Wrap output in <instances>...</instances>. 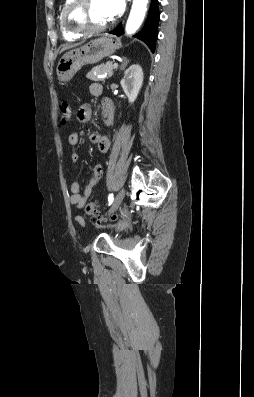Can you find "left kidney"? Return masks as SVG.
Instances as JSON below:
<instances>
[{"instance_id": "obj_1", "label": "left kidney", "mask_w": 254, "mask_h": 397, "mask_svg": "<svg viewBox=\"0 0 254 397\" xmlns=\"http://www.w3.org/2000/svg\"><path fill=\"white\" fill-rule=\"evenodd\" d=\"M143 84V71L140 65H131L125 72L121 80V86L128 97L130 103H133Z\"/></svg>"}]
</instances>
